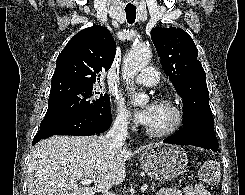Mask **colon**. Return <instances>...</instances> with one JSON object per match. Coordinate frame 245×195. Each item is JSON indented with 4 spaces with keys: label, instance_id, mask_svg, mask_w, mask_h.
Segmentation results:
<instances>
[{
    "label": "colon",
    "instance_id": "colon-1",
    "mask_svg": "<svg viewBox=\"0 0 245 195\" xmlns=\"http://www.w3.org/2000/svg\"><path fill=\"white\" fill-rule=\"evenodd\" d=\"M199 178L211 185H216L220 180V167L219 162L215 158L207 159L202 167L198 170ZM196 186H190L185 189V195H195L197 191Z\"/></svg>",
    "mask_w": 245,
    "mask_h": 195
}]
</instances>
